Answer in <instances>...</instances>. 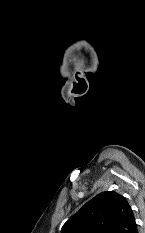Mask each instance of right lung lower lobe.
Listing matches in <instances>:
<instances>
[{
    "label": "right lung lower lobe",
    "instance_id": "1",
    "mask_svg": "<svg viewBox=\"0 0 145 233\" xmlns=\"http://www.w3.org/2000/svg\"><path fill=\"white\" fill-rule=\"evenodd\" d=\"M132 233H138V232H137V227L135 228V230H134Z\"/></svg>",
    "mask_w": 145,
    "mask_h": 233
}]
</instances>
